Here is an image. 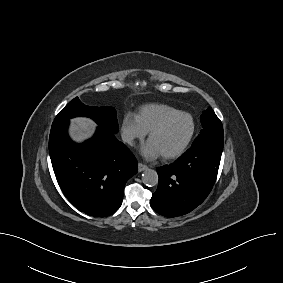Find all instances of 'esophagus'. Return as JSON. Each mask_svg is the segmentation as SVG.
I'll return each instance as SVG.
<instances>
[{"instance_id":"obj_1","label":"esophagus","mask_w":283,"mask_h":283,"mask_svg":"<svg viewBox=\"0 0 283 283\" xmlns=\"http://www.w3.org/2000/svg\"><path fill=\"white\" fill-rule=\"evenodd\" d=\"M148 169V166L142 163H138V170L139 172H142L144 170Z\"/></svg>"}]
</instances>
